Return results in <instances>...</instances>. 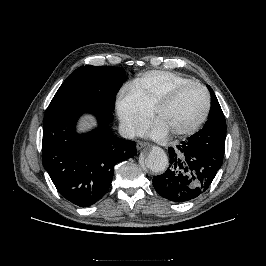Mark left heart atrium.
I'll list each match as a JSON object with an SVG mask.
<instances>
[{
  "label": "left heart atrium",
  "mask_w": 266,
  "mask_h": 266,
  "mask_svg": "<svg viewBox=\"0 0 266 266\" xmlns=\"http://www.w3.org/2000/svg\"><path fill=\"white\" fill-rule=\"evenodd\" d=\"M168 133V130L158 121H156L149 129L144 131V134L157 139L166 137Z\"/></svg>",
  "instance_id": "1"
}]
</instances>
